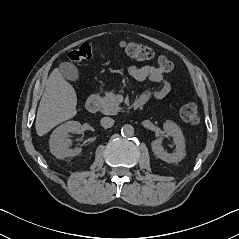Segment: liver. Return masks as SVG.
Instances as JSON below:
<instances>
[{"label": "liver", "mask_w": 239, "mask_h": 239, "mask_svg": "<svg viewBox=\"0 0 239 239\" xmlns=\"http://www.w3.org/2000/svg\"><path fill=\"white\" fill-rule=\"evenodd\" d=\"M77 95L75 89L62 76L59 69L50 74L37 110L35 128L43 136L58 124L76 114Z\"/></svg>", "instance_id": "6515ba94"}]
</instances>
